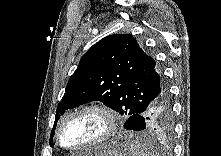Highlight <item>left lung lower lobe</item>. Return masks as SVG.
<instances>
[{"instance_id":"1","label":"left lung lower lobe","mask_w":221,"mask_h":156,"mask_svg":"<svg viewBox=\"0 0 221 156\" xmlns=\"http://www.w3.org/2000/svg\"><path fill=\"white\" fill-rule=\"evenodd\" d=\"M156 98L145 108L131 115L124 127L127 130L157 132L159 134L172 133L174 126L172 99L168 85L163 78L157 88Z\"/></svg>"}]
</instances>
